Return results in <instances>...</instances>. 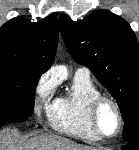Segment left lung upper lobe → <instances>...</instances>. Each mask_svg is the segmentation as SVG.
<instances>
[{"mask_svg":"<svg viewBox=\"0 0 139 150\" xmlns=\"http://www.w3.org/2000/svg\"><path fill=\"white\" fill-rule=\"evenodd\" d=\"M59 22L74 60L89 67L119 105L123 138L139 140V45L130 25L108 10L78 21L63 14Z\"/></svg>","mask_w":139,"mask_h":150,"instance_id":"left-lung-upper-lobe-1","label":"left lung upper lobe"}]
</instances>
